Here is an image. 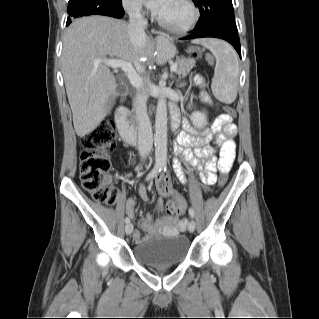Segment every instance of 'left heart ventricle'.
Segmentation results:
<instances>
[{
	"label": "left heart ventricle",
	"mask_w": 319,
	"mask_h": 319,
	"mask_svg": "<svg viewBox=\"0 0 319 319\" xmlns=\"http://www.w3.org/2000/svg\"><path fill=\"white\" fill-rule=\"evenodd\" d=\"M189 9L182 0H168L164 10L158 16L170 23H182L188 19Z\"/></svg>",
	"instance_id": "b2bd125f"
}]
</instances>
